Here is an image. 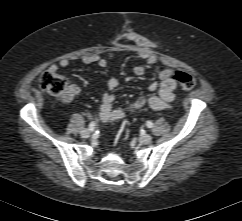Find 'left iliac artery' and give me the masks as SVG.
Segmentation results:
<instances>
[{
  "instance_id": "44dca946",
  "label": "left iliac artery",
  "mask_w": 242,
  "mask_h": 221,
  "mask_svg": "<svg viewBox=\"0 0 242 221\" xmlns=\"http://www.w3.org/2000/svg\"><path fill=\"white\" fill-rule=\"evenodd\" d=\"M148 128H152L153 127V123L151 121H147L146 123Z\"/></svg>"
}]
</instances>
